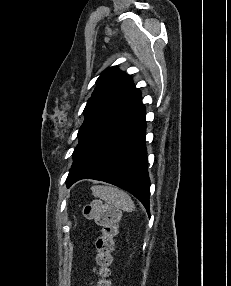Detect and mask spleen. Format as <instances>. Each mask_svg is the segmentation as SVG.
<instances>
[{
  "mask_svg": "<svg viewBox=\"0 0 231 286\" xmlns=\"http://www.w3.org/2000/svg\"><path fill=\"white\" fill-rule=\"evenodd\" d=\"M91 190L95 197L106 201L108 204L117 209L126 212H132L135 209V204L131 197L125 191L119 188L97 185L93 186Z\"/></svg>",
  "mask_w": 231,
  "mask_h": 286,
  "instance_id": "spleen-1",
  "label": "spleen"
}]
</instances>
